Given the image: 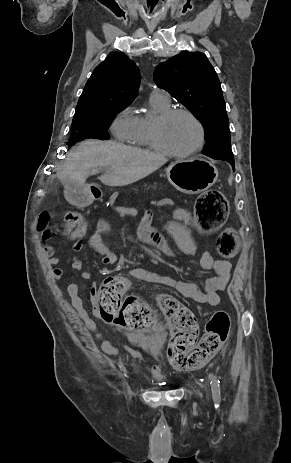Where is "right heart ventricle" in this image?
I'll use <instances>...</instances> for the list:
<instances>
[{"instance_id": "1", "label": "right heart ventricle", "mask_w": 291, "mask_h": 463, "mask_svg": "<svg viewBox=\"0 0 291 463\" xmlns=\"http://www.w3.org/2000/svg\"><path fill=\"white\" fill-rule=\"evenodd\" d=\"M150 104L157 114L168 110L170 106V102L166 103L152 96H150ZM135 120L136 129L131 143L137 146L154 148L151 143V123L153 119L146 115H137Z\"/></svg>"}]
</instances>
